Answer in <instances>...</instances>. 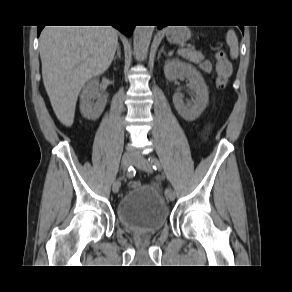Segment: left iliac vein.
<instances>
[{"label":"left iliac vein","instance_id":"4c4485c4","mask_svg":"<svg viewBox=\"0 0 292 292\" xmlns=\"http://www.w3.org/2000/svg\"><path fill=\"white\" fill-rule=\"evenodd\" d=\"M133 164L140 170H143L148 173L152 172L151 164L141 154L137 153L133 156ZM166 197L169 201H173L175 199V193L172 190H170L169 193L166 194Z\"/></svg>","mask_w":292,"mask_h":292}]
</instances>
